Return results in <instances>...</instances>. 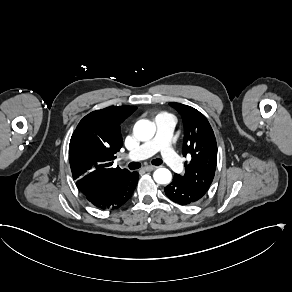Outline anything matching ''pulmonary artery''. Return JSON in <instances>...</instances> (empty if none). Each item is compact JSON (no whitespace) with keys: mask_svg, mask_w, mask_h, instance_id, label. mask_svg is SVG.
<instances>
[{"mask_svg":"<svg viewBox=\"0 0 292 292\" xmlns=\"http://www.w3.org/2000/svg\"><path fill=\"white\" fill-rule=\"evenodd\" d=\"M157 123L159 124L157 134L142 147H135L132 150V157L135 160H142L160 151L161 158L172 170L181 171L184 168V161L174 152L171 137L175 119L169 113H160L157 116Z\"/></svg>","mask_w":292,"mask_h":292,"instance_id":"obj_1","label":"pulmonary artery"}]
</instances>
